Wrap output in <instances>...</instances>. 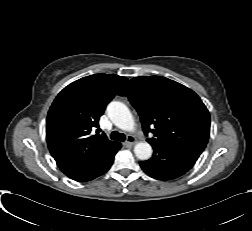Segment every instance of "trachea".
<instances>
[{
    "instance_id": "1",
    "label": "trachea",
    "mask_w": 252,
    "mask_h": 231,
    "mask_svg": "<svg viewBox=\"0 0 252 231\" xmlns=\"http://www.w3.org/2000/svg\"><path fill=\"white\" fill-rule=\"evenodd\" d=\"M111 139L123 142V141L126 140V136L123 133H119L117 131H113L111 133Z\"/></svg>"
}]
</instances>
